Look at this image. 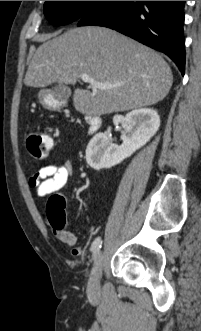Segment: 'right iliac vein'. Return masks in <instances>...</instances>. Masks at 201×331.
<instances>
[{"mask_svg":"<svg viewBox=\"0 0 201 331\" xmlns=\"http://www.w3.org/2000/svg\"><path fill=\"white\" fill-rule=\"evenodd\" d=\"M103 254L98 253L91 270L90 279L88 282V293L94 295L99 290L100 279L102 276Z\"/></svg>","mask_w":201,"mask_h":331,"instance_id":"63e3f726","label":"right iliac vein"}]
</instances>
